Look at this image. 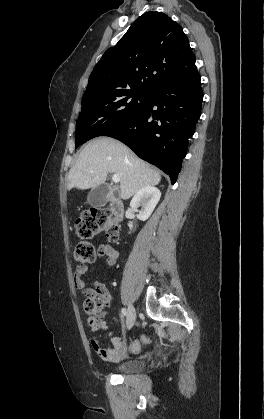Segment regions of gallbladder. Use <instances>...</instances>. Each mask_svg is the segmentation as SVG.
<instances>
[{
  "instance_id": "obj_1",
  "label": "gallbladder",
  "mask_w": 264,
  "mask_h": 419,
  "mask_svg": "<svg viewBox=\"0 0 264 419\" xmlns=\"http://www.w3.org/2000/svg\"><path fill=\"white\" fill-rule=\"evenodd\" d=\"M117 192L115 191V194ZM109 187L105 184L93 188L88 196L87 202L94 207H101L108 201Z\"/></svg>"
}]
</instances>
